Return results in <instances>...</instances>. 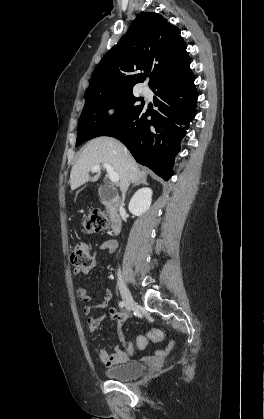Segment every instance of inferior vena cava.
<instances>
[{
    "label": "inferior vena cava",
    "instance_id": "inferior-vena-cava-1",
    "mask_svg": "<svg viewBox=\"0 0 264 419\" xmlns=\"http://www.w3.org/2000/svg\"><path fill=\"white\" fill-rule=\"evenodd\" d=\"M125 197V190L122 191V198L124 199Z\"/></svg>",
    "mask_w": 264,
    "mask_h": 419
}]
</instances>
